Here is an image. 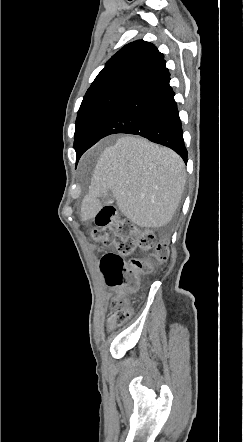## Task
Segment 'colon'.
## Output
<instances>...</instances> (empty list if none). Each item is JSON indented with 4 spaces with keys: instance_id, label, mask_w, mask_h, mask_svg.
I'll use <instances>...</instances> for the list:
<instances>
[{
    "instance_id": "colon-1",
    "label": "colon",
    "mask_w": 243,
    "mask_h": 442,
    "mask_svg": "<svg viewBox=\"0 0 243 442\" xmlns=\"http://www.w3.org/2000/svg\"><path fill=\"white\" fill-rule=\"evenodd\" d=\"M97 228L93 230V239L103 247H113L120 255H129L139 248L143 257L123 260L119 255L106 253L100 262V270L105 283L115 289L113 300L115 324L125 321L130 315V294L137 291L142 277L153 266L166 261L170 248L165 240L157 241L149 230H136L133 224L118 217L117 209L108 203L95 216Z\"/></svg>"
}]
</instances>
